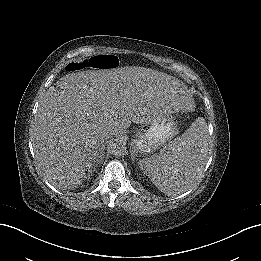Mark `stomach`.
I'll return each instance as SVG.
<instances>
[{"instance_id": "1", "label": "stomach", "mask_w": 261, "mask_h": 261, "mask_svg": "<svg viewBox=\"0 0 261 261\" xmlns=\"http://www.w3.org/2000/svg\"><path fill=\"white\" fill-rule=\"evenodd\" d=\"M167 118L165 114L160 113L158 116L154 115L141 122L132 143L136 153L147 154L153 152L169 138L171 131Z\"/></svg>"}]
</instances>
